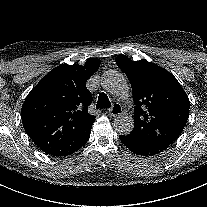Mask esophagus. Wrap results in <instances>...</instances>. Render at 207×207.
Returning <instances> with one entry per match:
<instances>
[{
    "label": "esophagus",
    "mask_w": 207,
    "mask_h": 207,
    "mask_svg": "<svg viewBox=\"0 0 207 207\" xmlns=\"http://www.w3.org/2000/svg\"><path fill=\"white\" fill-rule=\"evenodd\" d=\"M107 113L111 117H116L122 113V106L120 104H112L110 106V109L107 111Z\"/></svg>",
    "instance_id": "esophagus-1"
}]
</instances>
